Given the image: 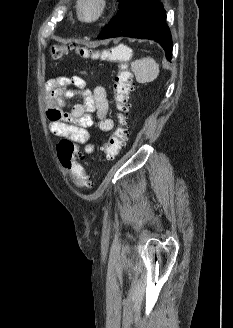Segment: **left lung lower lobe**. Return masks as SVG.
<instances>
[{"label": "left lung lower lobe", "mask_w": 233, "mask_h": 328, "mask_svg": "<svg viewBox=\"0 0 233 328\" xmlns=\"http://www.w3.org/2000/svg\"><path fill=\"white\" fill-rule=\"evenodd\" d=\"M165 20L163 4L158 0H126L98 38L126 36L155 40L162 45L166 58L170 61L172 38Z\"/></svg>", "instance_id": "obj_1"}]
</instances>
